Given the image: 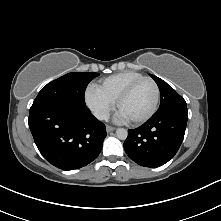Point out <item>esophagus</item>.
<instances>
[{"label":"esophagus","instance_id":"34e87169","mask_svg":"<svg viewBox=\"0 0 221 221\" xmlns=\"http://www.w3.org/2000/svg\"><path fill=\"white\" fill-rule=\"evenodd\" d=\"M115 130V127H112V126H109V125H107L106 126V131L109 133V132H112V131H114Z\"/></svg>","mask_w":221,"mask_h":221}]
</instances>
